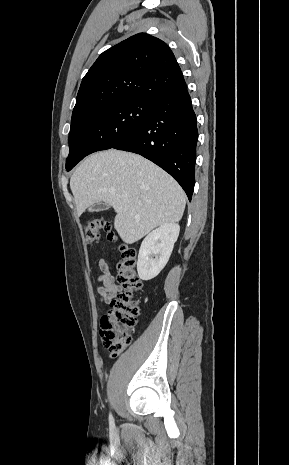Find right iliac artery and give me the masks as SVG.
Listing matches in <instances>:
<instances>
[{"label": "right iliac artery", "instance_id": "82829eb1", "mask_svg": "<svg viewBox=\"0 0 289 465\" xmlns=\"http://www.w3.org/2000/svg\"><path fill=\"white\" fill-rule=\"evenodd\" d=\"M109 422H110V425L114 424V420L111 414L109 415Z\"/></svg>", "mask_w": 289, "mask_h": 465}]
</instances>
